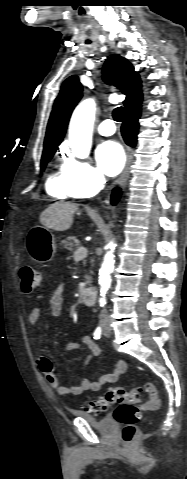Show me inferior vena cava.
<instances>
[{
    "label": "inferior vena cava",
    "instance_id": "1",
    "mask_svg": "<svg viewBox=\"0 0 187 479\" xmlns=\"http://www.w3.org/2000/svg\"><path fill=\"white\" fill-rule=\"evenodd\" d=\"M100 317L103 318V319H105V318L108 317V314H107V310H106V309H104V310L101 311Z\"/></svg>",
    "mask_w": 187,
    "mask_h": 479
}]
</instances>
